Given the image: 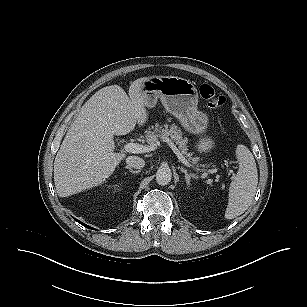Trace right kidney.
Listing matches in <instances>:
<instances>
[{
  "instance_id": "obj_1",
  "label": "right kidney",
  "mask_w": 307,
  "mask_h": 307,
  "mask_svg": "<svg viewBox=\"0 0 307 307\" xmlns=\"http://www.w3.org/2000/svg\"><path fill=\"white\" fill-rule=\"evenodd\" d=\"M118 187H119L118 185H114V189H118Z\"/></svg>"
}]
</instances>
